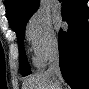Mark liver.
I'll return each instance as SVG.
<instances>
[{"label":"liver","instance_id":"6515ba94","mask_svg":"<svg viewBox=\"0 0 89 89\" xmlns=\"http://www.w3.org/2000/svg\"><path fill=\"white\" fill-rule=\"evenodd\" d=\"M59 79L47 72H40L30 76L22 89H61Z\"/></svg>","mask_w":89,"mask_h":89}]
</instances>
